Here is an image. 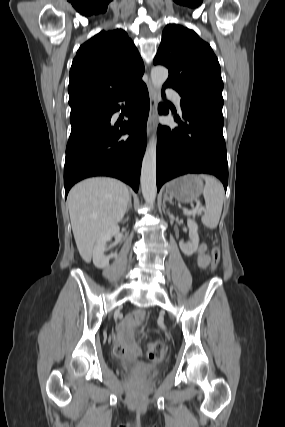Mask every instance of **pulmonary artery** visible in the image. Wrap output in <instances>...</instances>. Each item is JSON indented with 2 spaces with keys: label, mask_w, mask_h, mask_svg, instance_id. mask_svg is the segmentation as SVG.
<instances>
[{
  "label": "pulmonary artery",
  "mask_w": 285,
  "mask_h": 427,
  "mask_svg": "<svg viewBox=\"0 0 285 427\" xmlns=\"http://www.w3.org/2000/svg\"><path fill=\"white\" fill-rule=\"evenodd\" d=\"M166 95L174 101L175 105L179 109H181V96L179 95V93L175 89L168 87L166 89Z\"/></svg>",
  "instance_id": "obj_1"
}]
</instances>
